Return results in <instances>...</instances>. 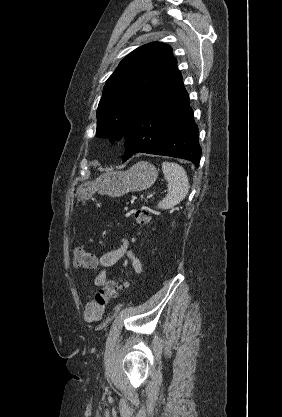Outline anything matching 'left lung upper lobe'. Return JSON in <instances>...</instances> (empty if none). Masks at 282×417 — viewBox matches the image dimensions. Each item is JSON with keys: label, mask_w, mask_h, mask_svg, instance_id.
<instances>
[{"label": "left lung upper lobe", "mask_w": 282, "mask_h": 417, "mask_svg": "<svg viewBox=\"0 0 282 417\" xmlns=\"http://www.w3.org/2000/svg\"><path fill=\"white\" fill-rule=\"evenodd\" d=\"M176 63L172 48L161 42L148 43L127 55L104 86L97 109V136L122 139L134 111Z\"/></svg>", "instance_id": "1"}]
</instances>
